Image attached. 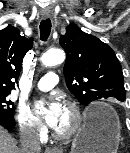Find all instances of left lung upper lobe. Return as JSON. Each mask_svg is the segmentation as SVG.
I'll use <instances>...</instances> for the list:
<instances>
[{
	"label": "left lung upper lobe",
	"mask_w": 130,
	"mask_h": 153,
	"mask_svg": "<svg viewBox=\"0 0 130 153\" xmlns=\"http://www.w3.org/2000/svg\"><path fill=\"white\" fill-rule=\"evenodd\" d=\"M59 42L66 51L67 87L81 104L108 97L125 100L122 67L107 44L75 24L67 26Z\"/></svg>",
	"instance_id": "obj_1"
}]
</instances>
